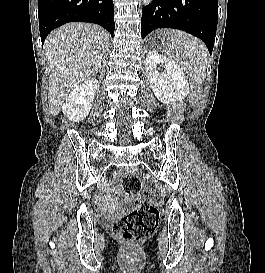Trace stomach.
<instances>
[{"label":"stomach","mask_w":265,"mask_h":273,"mask_svg":"<svg viewBox=\"0 0 265 273\" xmlns=\"http://www.w3.org/2000/svg\"><path fill=\"white\" fill-rule=\"evenodd\" d=\"M174 30H159V35H150V40H143L147 49H170L174 39Z\"/></svg>","instance_id":"obj_1"}]
</instances>
